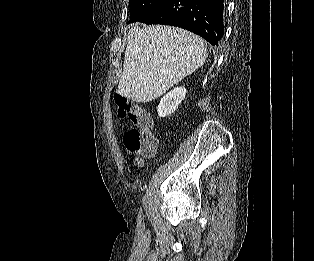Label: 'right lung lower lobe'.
<instances>
[{
  "mask_svg": "<svg viewBox=\"0 0 314 261\" xmlns=\"http://www.w3.org/2000/svg\"><path fill=\"white\" fill-rule=\"evenodd\" d=\"M224 0H168L140 22L178 26L212 45L224 35Z\"/></svg>",
  "mask_w": 314,
  "mask_h": 261,
  "instance_id": "obj_1",
  "label": "right lung lower lobe"
}]
</instances>
